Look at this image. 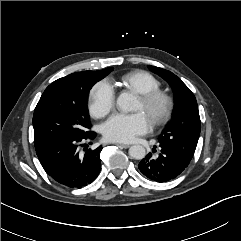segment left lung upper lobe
<instances>
[{
	"instance_id": "left-lung-upper-lobe-1",
	"label": "left lung upper lobe",
	"mask_w": 241,
	"mask_h": 241,
	"mask_svg": "<svg viewBox=\"0 0 241 241\" xmlns=\"http://www.w3.org/2000/svg\"><path fill=\"white\" fill-rule=\"evenodd\" d=\"M150 69L168 82L176 98L174 117L158 137L159 145L171 149L190 163L201 129L195 96L172 72L155 66H150Z\"/></svg>"
}]
</instances>
